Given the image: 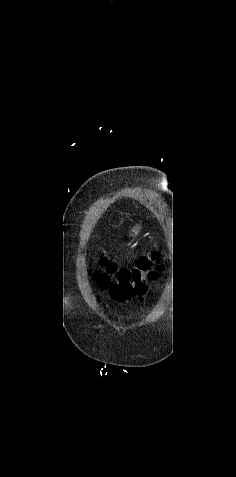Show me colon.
<instances>
[{
  "label": "colon",
  "instance_id": "1",
  "mask_svg": "<svg viewBox=\"0 0 236 477\" xmlns=\"http://www.w3.org/2000/svg\"><path fill=\"white\" fill-rule=\"evenodd\" d=\"M156 254L142 256L134 267H118L101 260L104 272H96L95 279L101 288L109 290L113 299L125 301L132 298L141 299L147 293V281L157 276L158 268L153 264Z\"/></svg>",
  "mask_w": 236,
  "mask_h": 477
}]
</instances>
